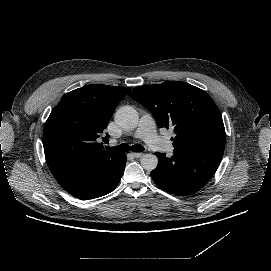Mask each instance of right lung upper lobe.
I'll return each mask as SVG.
<instances>
[{
  "label": "right lung upper lobe",
  "mask_w": 271,
  "mask_h": 271,
  "mask_svg": "<svg viewBox=\"0 0 271 271\" xmlns=\"http://www.w3.org/2000/svg\"><path fill=\"white\" fill-rule=\"evenodd\" d=\"M130 90L86 85L65 94L52 110L44 126L43 147L47 164L62 187L119 156L103 149V143L96 139Z\"/></svg>",
  "instance_id": "right-lung-upper-lobe-1"
}]
</instances>
